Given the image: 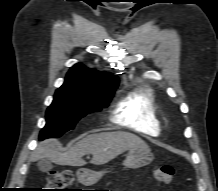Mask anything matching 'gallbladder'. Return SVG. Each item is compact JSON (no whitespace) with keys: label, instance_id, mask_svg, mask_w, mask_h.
I'll return each instance as SVG.
<instances>
[{"label":"gallbladder","instance_id":"1","mask_svg":"<svg viewBox=\"0 0 218 191\" xmlns=\"http://www.w3.org/2000/svg\"><path fill=\"white\" fill-rule=\"evenodd\" d=\"M37 167L42 172H47L53 168L52 162L47 158L39 159L37 162Z\"/></svg>","mask_w":218,"mask_h":191}]
</instances>
